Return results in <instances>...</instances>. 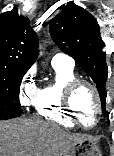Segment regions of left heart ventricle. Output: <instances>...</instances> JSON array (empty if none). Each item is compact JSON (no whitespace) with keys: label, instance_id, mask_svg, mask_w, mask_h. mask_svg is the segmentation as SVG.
Here are the masks:
<instances>
[{"label":"left heart ventricle","instance_id":"1","mask_svg":"<svg viewBox=\"0 0 114 156\" xmlns=\"http://www.w3.org/2000/svg\"><path fill=\"white\" fill-rule=\"evenodd\" d=\"M73 105L83 124L92 125L96 114V102L88 87L82 86L77 90L73 98Z\"/></svg>","mask_w":114,"mask_h":156}]
</instances>
